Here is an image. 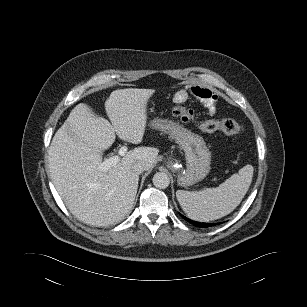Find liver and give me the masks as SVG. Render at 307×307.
<instances>
[{
  "instance_id": "6515ba94",
  "label": "liver",
  "mask_w": 307,
  "mask_h": 307,
  "mask_svg": "<svg viewBox=\"0 0 307 307\" xmlns=\"http://www.w3.org/2000/svg\"><path fill=\"white\" fill-rule=\"evenodd\" d=\"M154 89L127 88L111 92L105 110L111 123L80 103L55 133L49 151L50 178L70 212L92 226H108L131 211L139 174L132 166L143 163L149 170L159 150L136 147L108 171H101L102 152L116 135L132 144L142 142L147 105ZM116 134V135H115Z\"/></svg>"
}]
</instances>
